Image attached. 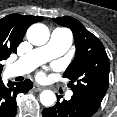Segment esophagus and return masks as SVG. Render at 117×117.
Here are the masks:
<instances>
[{"label":"esophagus","mask_w":117,"mask_h":117,"mask_svg":"<svg viewBox=\"0 0 117 117\" xmlns=\"http://www.w3.org/2000/svg\"><path fill=\"white\" fill-rule=\"evenodd\" d=\"M33 89L38 92V91H42L44 88L41 86L35 85Z\"/></svg>","instance_id":"1"}]
</instances>
